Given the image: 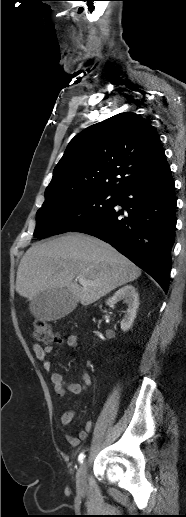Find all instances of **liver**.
<instances>
[{"label": "liver", "mask_w": 186, "mask_h": 517, "mask_svg": "<svg viewBox=\"0 0 186 517\" xmlns=\"http://www.w3.org/2000/svg\"><path fill=\"white\" fill-rule=\"evenodd\" d=\"M140 275L141 269L111 245L70 233L37 242L26 251L18 267L16 291L32 301L41 292L60 289L89 305ZM77 277L90 283L79 285Z\"/></svg>", "instance_id": "liver-1"}]
</instances>
